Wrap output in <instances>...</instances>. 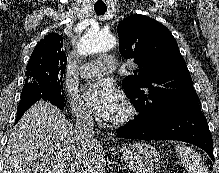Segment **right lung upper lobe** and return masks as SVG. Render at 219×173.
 <instances>
[{
    "instance_id": "cb5924a9",
    "label": "right lung upper lobe",
    "mask_w": 219,
    "mask_h": 173,
    "mask_svg": "<svg viewBox=\"0 0 219 173\" xmlns=\"http://www.w3.org/2000/svg\"><path fill=\"white\" fill-rule=\"evenodd\" d=\"M63 47V38L56 33H50L44 37L34 48L29 63L38 62L44 65H58L66 67L67 57Z\"/></svg>"
}]
</instances>
